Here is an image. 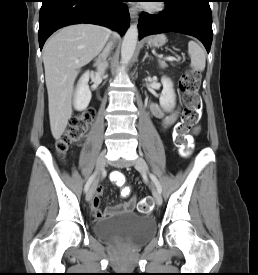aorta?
<instances>
[{
	"label": "aorta",
	"mask_w": 258,
	"mask_h": 275,
	"mask_svg": "<svg viewBox=\"0 0 258 275\" xmlns=\"http://www.w3.org/2000/svg\"><path fill=\"white\" fill-rule=\"evenodd\" d=\"M138 40V27L136 25H131L122 42V47H121V64L122 65H127L130 60L133 57L136 44Z\"/></svg>",
	"instance_id": "obj_1"
}]
</instances>
